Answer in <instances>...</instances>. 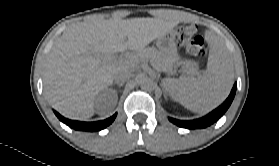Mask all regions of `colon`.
I'll use <instances>...</instances> for the list:
<instances>
[{"mask_svg": "<svg viewBox=\"0 0 279 166\" xmlns=\"http://www.w3.org/2000/svg\"><path fill=\"white\" fill-rule=\"evenodd\" d=\"M179 45L197 59L206 56L204 39L196 25H182L177 29Z\"/></svg>", "mask_w": 279, "mask_h": 166, "instance_id": "5ec220e1", "label": "colon"}]
</instances>
